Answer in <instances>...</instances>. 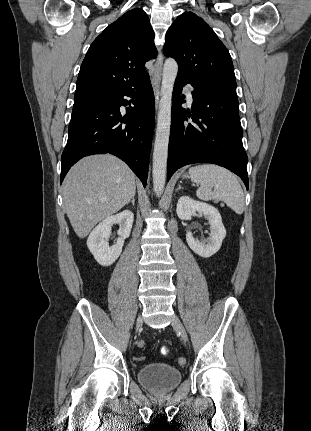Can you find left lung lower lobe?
<instances>
[{"instance_id":"obj_1","label":"left lung lower lobe","mask_w":311,"mask_h":431,"mask_svg":"<svg viewBox=\"0 0 311 431\" xmlns=\"http://www.w3.org/2000/svg\"><path fill=\"white\" fill-rule=\"evenodd\" d=\"M187 83L194 88L192 113L181 107L183 101L179 99ZM242 135L236 90L197 85L177 75L172 97L168 180L184 165L206 162L231 170L248 190V158Z\"/></svg>"}]
</instances>
